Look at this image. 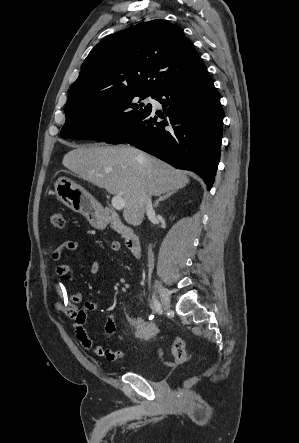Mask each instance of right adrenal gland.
Listing matches in <instances>:
<instances>
[{"instance_id": "1", "label": "right adrenal gland", "mask_w": 299, "mask_h": 443, "mask_svg": "<svg viewBox=\"0 0 299 443\" xmlns=\"http://www.w3.org/2000/svg\"><path fill=\"white\" fill-rule=\"evenodd\" d=\"M177 192V190H173V191H170V192H167L165 195H163V196H160L156 201H155V203H154V208H157L158 206H159V203L161 202V201H164V200H166V199H168L170 196H172L173 194H175Z\"/></svg>"}]
</instances>
